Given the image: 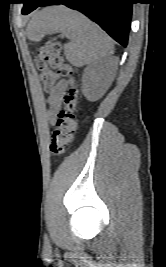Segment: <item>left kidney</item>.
Instances as JSON below:
<instances>
[{
	"label": "left kidney",
	"instance_id": "obj_1",
	"mask_svg": "<svg viewBox=\"0 0 166 267\" xmlns=\"http://www.w3.org/2000/svg\"><path fill=\"white\" fill-rule=\"evenodd\" d=\"M106 62L87 66L82 77V92L88 101L98 100L108 85L109 75Z\"/></svg>",
	"mask_w": 166,
	"mask_h": 267
}]
</instances>
